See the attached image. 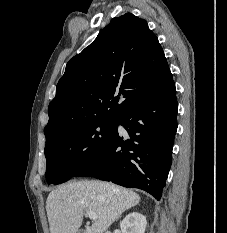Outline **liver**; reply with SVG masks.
<instances>
[{"label":"liver","mask_w":227,"mask_h":233,"mask_svg":"<svg viewBox=\"0 0 227 233\" xmlns=\"http://www.w3.org/2000/svg\"><path fill=\"white\" fill-rule=\"evenodd\" d=\"M140 196L108 182L78 181L52 190L46 201L50 233H76L84 212H94L97 218L85 233H104L123 212L137 205Z\"/></svg>","instance_id":"1"}]
</instances>
